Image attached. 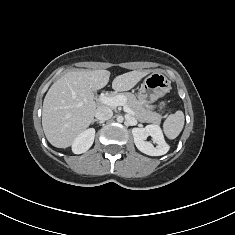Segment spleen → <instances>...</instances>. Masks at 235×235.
I'll list each match as a JSON object with an SVG mask.
<instances>
[{"label": "spleen", "mask_w": 235, "mask_h": 235, "mask_svg": "<svg viewBox=\"0 0 235 235\" xmlns=\"http://www.w3.org/2000/svg\"><path fill=\"white\" fill-rule=\"evenodd\" d=\"M184 121V113L180 110L170 115L163 124L165 135L169 139H175L183 129Z\"/></svg>", "instance_id": "spleen-1"}]
</instances>
